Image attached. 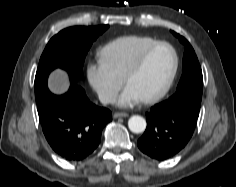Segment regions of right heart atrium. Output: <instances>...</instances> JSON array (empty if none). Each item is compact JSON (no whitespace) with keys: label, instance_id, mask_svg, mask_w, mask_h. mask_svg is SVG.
<instances>
[{"label":"right heart atrium","instance_id":"d8ad5b80","mask_svg":"<svg viewBox=\"0 0 236 187\" xmlns=\"http://www.w3.org/2000/svg\"><path fill=\"white\" fill-rule=\"evenodd\" d=\"M86 78L91 88L104 104L113 103L123 81L100 63H90L86 68Z\"/></svg>","mask_w":236,"mask_h":187}]
</instances>
